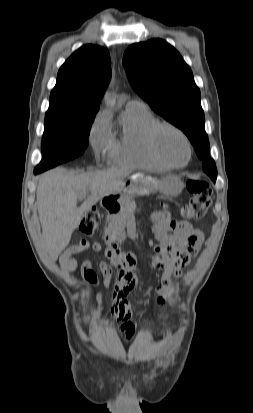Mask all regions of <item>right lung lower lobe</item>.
<instances>
[{"instance_id": "right-lung-lower-lobe-1", "label": "right lung lower lobe", "mask_w": 253, "mask_h": 413, "mask_svg": "<svg viewBox=\"0 0 253 413\" xmlns=\"http://www.w3.org/2000/svg\"><path fill=\"white\" fill-rule=\"evenodd\" d=\"M40 172H43V171L34 170V173H35V174H38V173H40Z\"/></svg>"}]
</instances>
